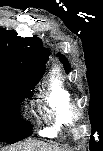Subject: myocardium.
<instances>
[{
	"label": "myocardium",
	"mask_w": 103,
	"mask_h": 151,
	"mask_svg": "<svg viewBox=\"0 0 103 151\" xmlns=\"http://www.w3.org/2000/svg\"><path fill=\"white\" fill-rule=\"evenodd\" d=\"M68 118L73 122H79L83 118L82 110L72 102L68 106Z\"/></svg>",
	"instance_id": "myocardium-1"
}]
</instances>
